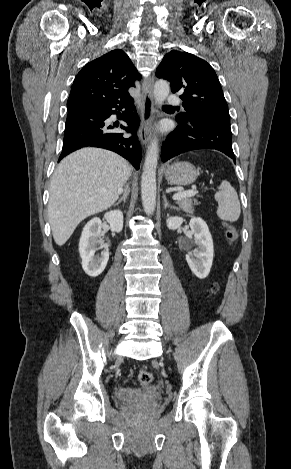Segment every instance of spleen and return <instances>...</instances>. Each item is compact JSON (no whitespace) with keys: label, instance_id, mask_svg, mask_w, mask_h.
Segmentation results:
<instances>
[{"label":"spleen","instance_id":"spleen-1","mask_svg":"<svg viewBox=\"0 0 291 469\" xmlns=\"http://www.w3.org/2000/svg\"><path fill=\"white\" fill-rule=\"evenodd\" d=\"M218 189L219 192L215 194V199L218 202V217L230 222L237 221L241 208L236 190L226 180L222 181Z\"/></svg>","mask_w":291,"mask_h":469}]
</instances>
